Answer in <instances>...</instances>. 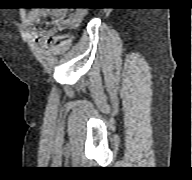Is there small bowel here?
Returning <instances> with one entry per match:
<instances>
[{
    "label": "small bowel",
    "mask_w": 192,
    "mask_h": 180,
    "mask_svg": "<svg viewBox=\"0 0 192 180\" xmlns=\"http://www.w3.org/2000/svg\"><path fill=\"white\" fill-rule=\"evenodd\" d=\"M48 16L54 17V23L59 24V30L73 29L79 26L81 22L80 13L68 14L65 10L51 11L46 8L34 9L28 13L27 22L31 26L38 25L44 18ZM54 29L46 31H33L32 35L43 45L52 43V35Z\"/></svg>",
    "instance_id": "1"
}]
</instances>
